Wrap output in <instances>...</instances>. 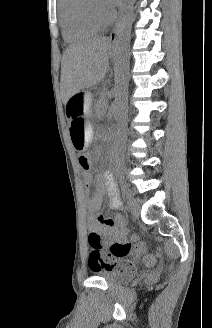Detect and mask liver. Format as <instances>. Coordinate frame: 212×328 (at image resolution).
Here are the masks:
<instances>
[{"mask_svg": "<svg viewBox=\"0 0 212 328\" xmlns=\"http://www.w3.org/2000/svg\"><path fill=\"white\" fill-rule=\"evenodd\" d=\"M111 41L97 37L70 46L62 57L61 94L64 103L74 94L102 81L108 71Z\"/></svg>", "mask_w": 212, "mask_h": 328, "instance_id": "1", "label": "liver"}]
</instances>
